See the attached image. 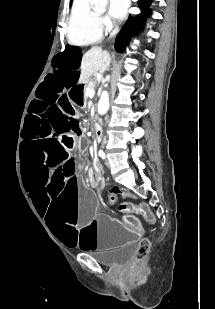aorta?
Listing matches in <instances>:
<instances>
[{
    "mask_svg": "<svg viewBox=\"0 0 215 309\" xmlns=\"http://www.w3.org/2000/svg\"><path fill=\"white\" fill-rule=\"evenodd\" d=\"M93 8H106L108 0H91ZM109 108V96L108 92H102L101 98L98 102L99 114H106Z\"/></svg>",
    "mask_w": 215,
    "mask_h": 309,
    "instance_id": "aorta-1",
    "label": "aorta"
}]
</instances>
